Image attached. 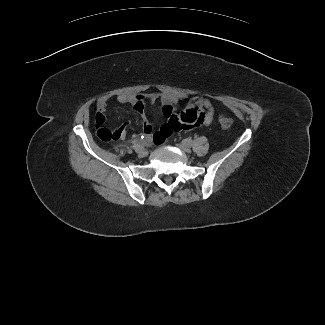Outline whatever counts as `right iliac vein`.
<instances>
[{
	"instance_id": "1",
	"label": "right iliac vein",
	"mask_w": 325,
	"mask_h": 325,
	"mask_svg": "<svg viewBox=\"0 0 325 325\" xmlns=\"http://www.w3.org/2000/svg\"><path fill=\"white\" fill-rule=\"evenodd\" d=\"M138 156L139 157H145L148 155V152L143 148L141 147L138 151H136Z\"/></svg>"
}]
</instances>
